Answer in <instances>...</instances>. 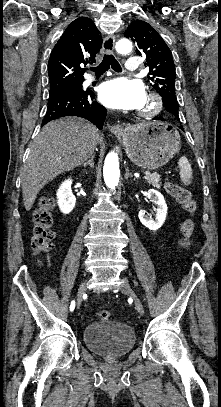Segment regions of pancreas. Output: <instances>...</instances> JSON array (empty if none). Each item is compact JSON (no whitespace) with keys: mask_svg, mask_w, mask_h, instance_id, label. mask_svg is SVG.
I'll return each instance as SVG.
<instances>
[{"mask_svg":"<svg viewBox=\"0 0 221 407\" xmlns=\"http://www.w3.org/2000/svg\"><path fill=\"white\" fill-rule=\"evenodd\" d=\"M145 180L149 184L154 186L155 188H160V185H161L160 180H161V178H160L159 174H157V173L149 174V175L145 176Z\"/></svg>","mask_w":221,"mask_h":407,"instance_id":"pancreas-1","label":"pancreas"}]
</instances>
